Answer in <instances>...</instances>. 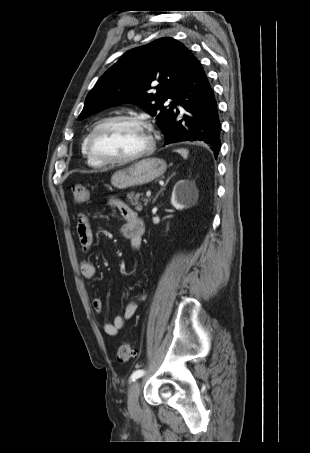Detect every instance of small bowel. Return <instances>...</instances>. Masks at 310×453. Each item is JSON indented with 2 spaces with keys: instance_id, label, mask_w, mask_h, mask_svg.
I'll list each match as a JSON object with an SVG mask.
<instances>
[{
  "instance_id": "obj_1",
  "label": "small bowel",
  "mask_w": 310,
  "mask_h": 453,
  "mask_svg": "<svg viewBox=\"0 0 310 453\" xmlns=\"http://www.w3.org/2000/svg\"><path fill=\"white\" fill-rule=\"evenodd\" d=\"M113 204L117 207L124 218V224L121 229L123 236L129 240L131 248L138 251L140 249L142 235L144 233V223L142 219L139 217L137 212L122 201L114 200ZM76 231L82 251L84 253H88L93 246V233L89 218L83 213L78 215ZM80 271L82 275L89 280H94L97 276L96 268L89 260L81 261ZM145 298L146 296L142 294L130 299L126 304L122 315H117L112 322L104 324L105 333L109 336H115L119 330L124 327L125 322L134 316L137 310L138 302L145 300ZM92 306L94 311L97 313H101L103 311V302L99 298L93 299Z\"/></svg>"
}]
</instances>
